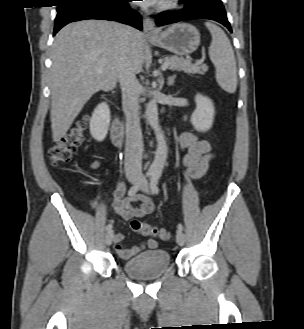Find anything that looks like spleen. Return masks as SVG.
<instances>
[{
    "instance_id": "3e777b00",
    "label": "spleen",
    "mask_w": 304,
    "mask_h": 329,
    "mask_svg": "<svg viewBox=\"0 0 304 329\" xmlns=\"http://www.w3.org/2000/svg\"><path fill=\"white\" fill-rule=\"evenodd\" d=\"M205 26L212 36L209 56L216 68V80L223 90L232 94L237 88V70L230 40L217 25L206 22Z\"/></svg>"
}]
</instances>
